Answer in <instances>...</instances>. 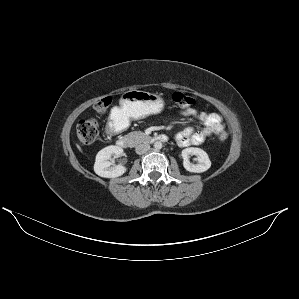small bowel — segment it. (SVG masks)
I'll return each instance as SVG.
<instances>
[{
  "mask_svg": "<svg viewBox=\"0 0 299 299\" xmlns=\"http://www.w3.org/2000/svg\"><path fill=\"white\" fill-rule=\"evenodd\" d=\"M181 115L197 118L203 125V128L201 130H196L193 127H187L180 131L175 137L176 142L180 147L199 145L209 136L220 134L225 131L223 119L216 113H206L193 108H187L181 111Z\"/></svg>",
  "mask_w": 299,
  "mask_h": 299,
  "instance_id": "1",
  "label": "small bowel"
}]
</instances>
